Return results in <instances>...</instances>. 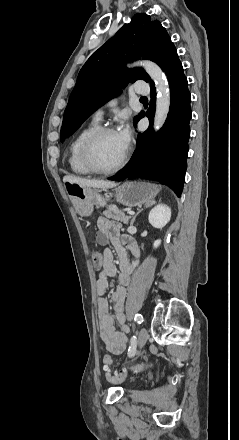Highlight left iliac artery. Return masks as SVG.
<instances>
[{
    "instance_id": "obj_1",
    "label": "left iliac artery",
    "mask_w": 239,
    "mask_h": 440,
    "mask_svg": "<svg viewBox=\"0 0 239 440\" xmlns=\"http://www.w3.org/2000/svg\"><path fill=\"white\" fill-rule=\"evenodd\" d=\"M136 323L141 324L143 322V316L141 314H136L134 317ZM137 340L136 337L133 336L130 340V346L128 349V356L132 357L136 353Z\"/></svg>"
}]
</instances>
